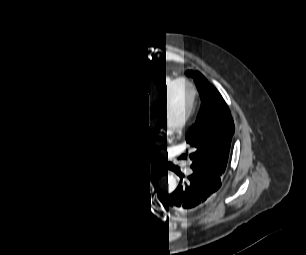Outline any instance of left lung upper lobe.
Masks as SVG:
<instances>
[{"mask_svg":"<svg viewBox=\"0 0 306 255\" xmlns=\"http://www.w3.org/2000/svg\"><path fill=\"white\" fill-rule=\"evenodd\" d=\"M201 96L202 107L195 124L186 136L191 168L206 167L221 176L227 165L235 126L231 113L217 89L199 72H188ZM187 148V152H188ZM187 158V153L181 155Z\"/></svg>","mask_w":306,"mask_h":255,"instance_id":"1","label":"left lung upper lobe"}]
</instances>
